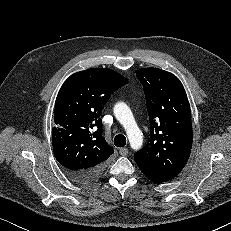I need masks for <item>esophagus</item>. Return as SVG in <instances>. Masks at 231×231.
<instances>
[{
  "label": "esophagus",
  "instance_id": "obj_1",
  "mask_svg": "<svg viewBox=\"0 0 231 231\" xmlns=\"http://www.w3.org/2000/svg\"><path fill=\"white\" fill-rule=\"evenodd\" d=\"M119 153L122 156H126L128 154V149L127 148H120Z\"/></svg>",
  "mask_w": 231,
  "mask_h": 231
}]
</instances>
